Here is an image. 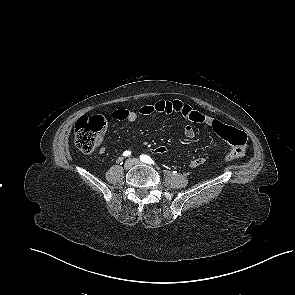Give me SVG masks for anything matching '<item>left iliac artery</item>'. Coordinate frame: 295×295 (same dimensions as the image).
I'll use <instances>...</instances> for the list:
<instances>
[{
    "label": "left iliac artery",
    "instance_id": "obj_1",
    "mask_svg": "<svg viewBox=\"0 0 295 295\" xmlns=\"http://www.w3.org/2000/svg\"><path fill=\"white\" fill-rule=\"evenodd\" d=\"M140 160L147 164H155V162L148 155H140Z\"/></svg>",
    "mask_w": 295,
    "mask_h": 295
}]
</instances>
